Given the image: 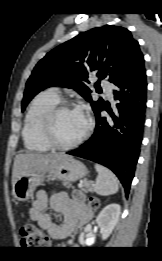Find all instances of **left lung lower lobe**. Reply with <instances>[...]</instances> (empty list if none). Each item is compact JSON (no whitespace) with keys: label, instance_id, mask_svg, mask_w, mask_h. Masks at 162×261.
Masks as SVG:
<instances>
[{"label":"left lung lower lobe","instance_id":"obj_1","mask_svg":"<svg viewBox=\"0 0 162 261\" xmlns=\"http://www.w3.org/2000/svg\"><path fill=\"white\" fill-rule=\"evenodd\" d=\"M117 111L108 110L111 119L95 113L96 127L91 138L67 154L92 160L111 169L121 181L126 196L140 154L147 101L144 59L114 83Z\"/></svg>","mask_w":162,"mask_h":261}]
</instances>
